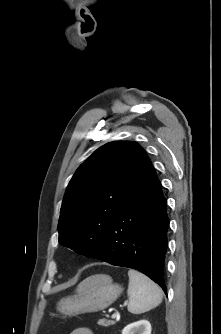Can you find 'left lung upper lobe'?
I'll return each mask as SVG.
<instances>
[{
    "instance_id": "5c2ea615",
    "label": "left lung upper lobe",
    "mask_w": 221,
    "mask_h": 334,
    "mask_svg": "<svg viewBox=\"0 0 221 334\" xmlns=\"http://www.w3.org/2000/svg\"><path fill=\"white\" fill-rule=\"evenodd\" d=\"M150 166L145 150L133 141L97 149L69 182L58 223L59 243L99 258L112 220Z\"/></svg>"
}]
</instances>
